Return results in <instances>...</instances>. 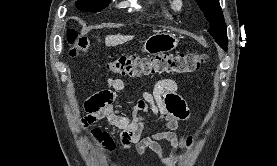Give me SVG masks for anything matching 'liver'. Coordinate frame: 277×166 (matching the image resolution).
I'll return each instance as SVG.
<instances>
[{"instance_id": "6515ba94", "label": "liver", "mask_w": 277, "mask_h": 166, "mask_svg": "<svg viewBox=\"0 0 277 166\" xmlns=\"http://www.w3.org/2000/svg\"><path fill=\"white\" fill-rule=\"evenodd\" d=\"M133 38V36H124V35H108L105 37V44L106 46L108 47H111V46H117V45H120V44H123L129 40H131Z\"/></svg>"}]
</instances>
